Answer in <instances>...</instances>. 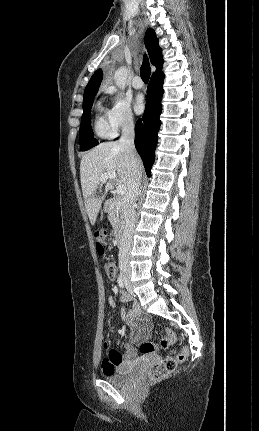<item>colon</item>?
I'll return each instance as SVG.
<instances>
[{
  "label": "colon",
  "instance_id": "colon-1",
  "mask_svg": "<svg viewBox=\"0 0 259 431\" xmlns=\"http://www.w3.org/2000/svg\"><path fill=\"white\" fill-rule=\"evenodd\" d=\"M97 238V249L100 254L105 251V246L110 244V238L107 230H101L96 234ZM105 272L110 280H114L117 272L116 265L109 261L105 264ZM176 341V335L170 330L165 329L163 338L159 345L144 342L140 345V352L143 354H149L156 352L158 349H168L169 346ZM188 356V349L183 348L175 357H166L147 372V379L151 382L159 381L171 372L174 371L179 362H183Z\"/></svg>",
  "mask_w": 259,
  "mask_h": 431
}]
</instances>
